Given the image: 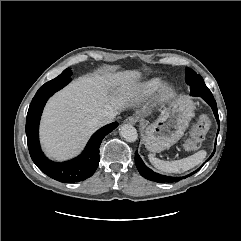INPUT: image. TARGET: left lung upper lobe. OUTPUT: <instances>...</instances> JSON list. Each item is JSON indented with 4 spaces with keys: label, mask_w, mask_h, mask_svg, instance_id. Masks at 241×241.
Wrapping results in <instances>:
<instances>
[{
    "label": "left lung upper lobe",
    "mask_w": 241,
    "mask_h": 241,
    "mask_svg": "<svg viewBox=\"0 0 241 241\" xmlns=\"http://www.w3.org/2000/svg\"><path fill=\"white\" fill-rule=\"evenodd\" d=\"M186 78L188 80H190L191 82H193L192 86H194L196 88L195 91H197V89H198L205 93H208V92L211 93L210 90L206 87L202 77L200 75H197L194 70L187 68L186 69Z\"/></svg>",
    "instance_id": "left-lung-upper-lobe-1"
}]
</instances>
